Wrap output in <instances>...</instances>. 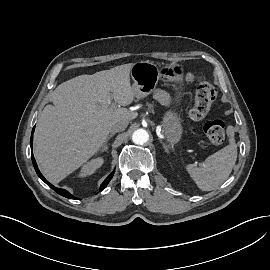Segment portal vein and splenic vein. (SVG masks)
Instances as JSON below:
<instances>
[{"mask_svg": "<svg viewBox=\"0 0 270 270\" xmlns=\"http://www.w3.org/2000/svg\"><path fill=\"white\" fill-rule=\"evenodd\" d=\"M111 108H113V109L117 108L116 102H113V103L111 104Z\"/></svg>", "mask_w": 270, "mask_h": 270, "instance_id": "1", "label": "portal vein and splenic vein"}]
</instances>
